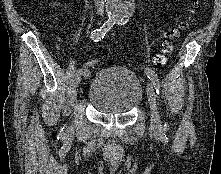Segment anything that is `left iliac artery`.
I'll list each match as a JSON object with an SVG mask.
<instances>
[{
    "instance_id": "1",
    "label": "left iliac artery",
    "mask_w": 221,
    "mask_h": 174,
    "mask_svg": "<svg viewBox=\"0 0 221 174\" xmlns=\"http://www.w3.org/2000/svg\"><path fill=\"white\" fill-rule=\"evenodd\" d=\"M145 74L151 80V82L154 85V88L156 89V93L159 95V79L157 77V74L150 68L145 69Z\"/></svg>"
}]
</instances>
